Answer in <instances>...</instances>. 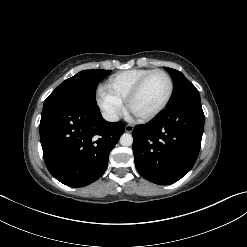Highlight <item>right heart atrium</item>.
<instances>
[{"label": "right heart atrium", "mask_w": 247, "mask_h": 247, "mask_svg": "<svg viewBox=\"0 0 247 247\" xmlns=\"http://www.w3.org/2000/svg\"><path fill=\"white\" fill-rule=\"evenodd\" d=\"M97 103L107 119L116 121L124 109L123 102L112 95L106 88L97 93Z\"/></svg>", "instance_id": "1"}]
</instances>
